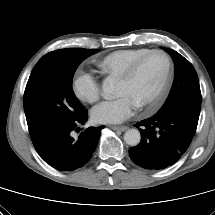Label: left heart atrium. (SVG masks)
<instances>
[{
  "label": "left heart atrium",
  "instance_id": "39dd6f15",
  "mask_svg": "<svg viewBox=\"0 0 215 215\" xmlns=\"http://www.w3.org/2000/svg\"><path fill=\"white\" fill-rule=\"evenodd\" d=\"M138 105L127 94L100 103L92 110V119L99 124L121 123L133 115Z\"/></svg>",
  "mask_w": 215,
  "mask_h": 215
}]
</instances>
